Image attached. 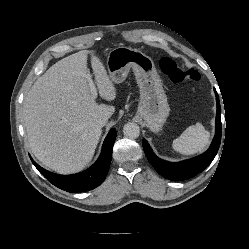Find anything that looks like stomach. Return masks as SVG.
Listing matches in <instances>:
<instances>
[{
	"label": "stomach",
	"instance_id": "obj_1",
	"mask_svg": "<svg viewBox=\"0 0 249 249\" xmlns=\"http://www.w3.org/2000/svg\"><path fill=\"white\" fill-rule=\"evenodd\" d=\"M107 68L110 79L117 84L126 79L132 68L140 90L137 114L152 132L160 131L170 108L153 60L137 49L122 46L110 51Z\"/></svg>",
	"mask_w": 249,
	"mask_h": 249
}]
</instances>
